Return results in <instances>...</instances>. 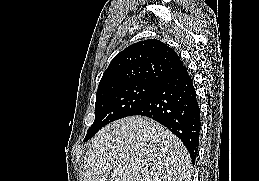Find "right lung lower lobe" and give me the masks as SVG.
Segmentation results:
<instances>
[{
	"instance_id": "1",
	"label": "right lung lower lobe",
	"mask_w": 259,
	"mask_h": 181,
	"mask_svg": "<svg viewBox=\"0 0 259 181\" xmlns=\"http://www.w3.org/2000/svg\"><path fill=\"white\" fill-rule=\"evenodd\" d=\"M132 115L147 116L167 127L184 143L194 162L199 146L200 110L184 65L160 79L150 98Z\"/></svg>"
}]
</instances>
